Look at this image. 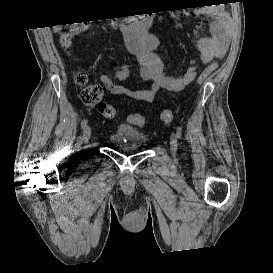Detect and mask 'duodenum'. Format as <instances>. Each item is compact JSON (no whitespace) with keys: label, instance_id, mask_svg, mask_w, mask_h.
<instances>
[{"label":"duodenum","instance_id":"obj_1","mask_svg":"<svg viewBox=\"0 0 273 273\" xmlns=\"http://www.w3.org/2000/svg\"><path fill=\"white\" fill-rule=\"evenodd\" d=\"M154 23V17L150 14H138L125 17L119 23L120 29L127 35L131 32L138 34L141 40H145L146 37L142 35V31L148 28Z\"/></svg>","mask_w":273,"mask_h":273}]
</instances>
